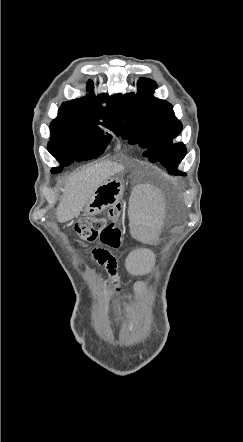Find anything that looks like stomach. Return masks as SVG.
<instances>
[{
	"mask_svg": "<svg viewBox=\"0 0 243 442\" xmlns=\"http://www.w3.org/2000/svg\"><path fill=\"white\" fill-rule=\"evenodd\" d=\"M124 185L118 178L106 179L94 192L84 207V214L93 216L117 203L123 196Z\"/></svg>",
	"mask_w": 243,
	"mask_h": 442,
	"instance_id": "stomach-1",
	"label": "stomach"
}]
</instances>
